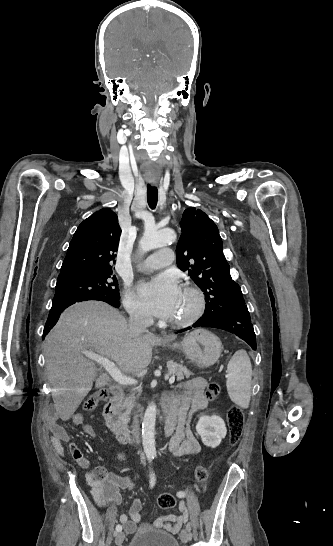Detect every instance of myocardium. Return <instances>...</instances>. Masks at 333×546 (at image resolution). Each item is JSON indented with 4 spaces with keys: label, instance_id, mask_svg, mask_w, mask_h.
Returning <instances> with one entry per match:
<instances>
[{
    "label": "myocardium",
    "instance_id": "obj_1",
    "mask_svg": "<svg viewBox=\"0 0 333 546\" xmlns=\"http://www.w3.org/2000/svg\"><path fill=\"white\" fill-rule=\"evenodd\" d=\"M183 290L192 296L194 300V307L191 313L185 318L180 320L170 319V324L177 328L188 327L194 324L202 316L206 305L203 292L194 284L186 283L183 287Z\"/></svg>",
    "mask_w": 333,
    "mask_h": 546
}]
</instances>
